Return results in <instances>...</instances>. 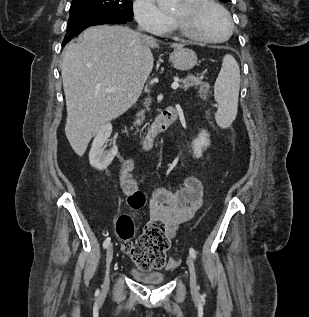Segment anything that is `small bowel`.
<instances>
[{
	"mask_svg": "<svg viewBox=\"0 0 309 317\" xmlns=\"http://www.w3.org/2000/svg\"><path fill=\"white\" fill-rule=\"evenodd\" d=\"M132 168V161L127 160L121 170V186L127 195L137 191ZM203 199L202 183L194 176L188 177L184 187L174 192L163 187L155 188L150 201L151 218L162 222L169 237H174L179 225L190 220L200 209Z\"/></svg>",
	"mask_w": 309,
	"mask_h": 317,
	"instance_id": "obj_1",
	"label": "small bowel"
}]
</instances>
